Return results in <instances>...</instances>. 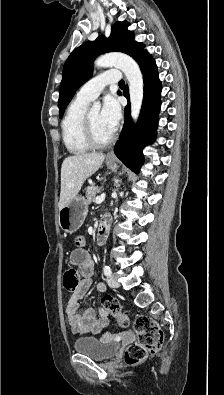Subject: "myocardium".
<instances>
[{
    "label": "myocardium",
    "mask_w": 224,
    "mask_h": 395,
    "mask_svg": "<svg viewBox=\"0 0 224 395\" xmlns=\"http://www.w3.org/2000/svg\"><path fill=\"white\" fill-rule=\"evenodd\" d=\"M83 134H84V137H85L87 143L90 145V147H93V148L106 147L109 144H111L113 142V140L115 139L114 133H112V135L104 141L97 139V137L94 134L93 128H92V124H91L90 117H89V112H85L84 117H83Z\"/></svg>",
    "instance_id": "myocardium-1"
}]
</instances>
